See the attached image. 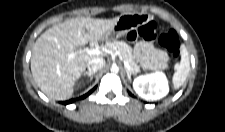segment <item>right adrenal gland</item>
I'll use <instances>...</instances> for the list:
<instances>
[{"mask_svg":"<svg viewBox=\"0 0 225 132\" xmlns=\"http://www.w3.org/2000/svg\"><path fill=\"white\" fill-rule=\"evenodd\" d=\"M94 74H95V72H88V71L84 72V75H88L91 80H92Z\"/></svg>","mask_w":225,"mask_h":132,"instance_id":"obj_1","label":"right adrenal gland"}]
</instances>
